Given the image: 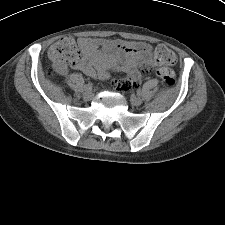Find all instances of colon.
Segmentation results:
<instances>
[{"mask_svg": "<svg viewBox=\"0 0 225 225\" xmlns=\"http://www.w3.org/2000/svg\"><path fill=\"white\" fill-rule=\"evenodd\" d=\"M52 57L63 65H72L75 62L77 53L75 52L74 42L70 38L60 40L52 49ZM176 61V57L170 51L162 56V62L166 65H172ZM151 65L147 62L140 63L135 73L114 81V85L119 91H128L135 87L140 81L141 76L150 71ZM162 81L167 85H173L174 76L168 73H161Z\"/></svg>", "mask_w": 225, "mask_h": 225, "instance_id": "1", "label": "colon"}]
</instances>
